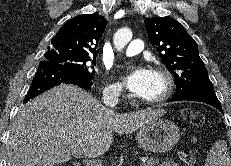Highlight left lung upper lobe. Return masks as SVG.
Here are the masks:
<instances>
[{"label":"left lung upper lobe","instance_id":"left-lung-upper-lobe-1","mask_svg":"<svg viewBox=\"0 0 231 166\" xmlns=\"http://www.w3.org/2000/svg\"><path fill=\"white\" fill-rule=\"evenodd\" d=\"M145 27L150 42L175 77L176 93L214 90L197 43L178 21L170 17L147 18Z\"/></svg>","mask_w":231,"mask_h":166}]
</instances>
